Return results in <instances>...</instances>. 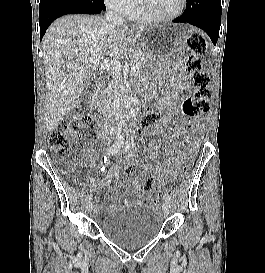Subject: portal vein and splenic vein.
Listing matches in <instances>:
<instances>
[{
    "label": "portal vein and splenic vein",
    "mask_w": 265,
    "mask_h": 273,
    "mask_svg": "<svg viewBox=\"0 0 265 273\" xmlns=\"http://www.w3.org/2000/svg\"><path fill=\"white\" fill-rule=\"evenodd\" d=\"M100 62V57H92L90 59V63L93 65H99L102 70H107V71H114V72H120L122 69V65L118 60H113V61H104ZM137 68L135 66L131 67V71H136Z\"/></svg>",
    "instance_id": "portal-vein-and-splenic-vein-1"
}]
</instances>
